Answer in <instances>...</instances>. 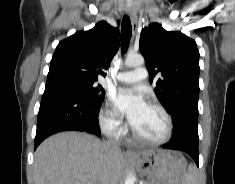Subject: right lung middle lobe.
Returning <instances> with one entry per match:
<instances>
[{"instance_id": "1", "label": "right lung middle lobe", "mask_w": 235, "mask_h": 184, "mask_svg": "<svg viewBox=\"0 0 235 184\" xmlns=\"http://www.w3.org/2000/svg\"><path fill=\"white\" fill-rule=\"evenodd\" d=\"M62 86L78 92L83 97L92 102L102 103L105 97L104 89L101 85L96 86L93 82L83 81L76 78H65Z\"/></svg>"}]
</instances>
